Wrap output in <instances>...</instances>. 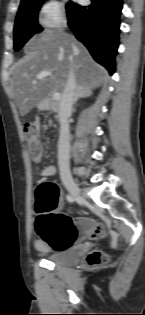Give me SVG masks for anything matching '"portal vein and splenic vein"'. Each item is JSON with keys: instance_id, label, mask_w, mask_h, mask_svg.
Listing matches in <instances>:
<instances>
[{"instance_id": "1", "label": "portal vein and splenic vein", "mask_w": 145, "mask_h": 315, "mask_svg": "<svg viewBox=\"0 0 145 315\" xmlns=\"http://www.w3.org/2000/svg\"><path fill=\"white\" fill-rule=\"evenodd\" d=\"M48 76H52V73L49 71H43L37 75V79L41 80V79L48 77ZM60 97H61V94L59 92H56L53 94V99H55V100H59Z\"/></svg>"}]
</instances>
